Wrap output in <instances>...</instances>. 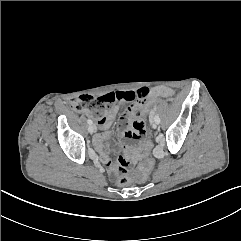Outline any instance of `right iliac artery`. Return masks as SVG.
<instances>
[{
  "label": "right iliac artery",
  "instance_id": "right-iliac-artery-1",
  "mask_svg": "<svg viewBox=\"0 0 241 241\" xmlns=\"http://www.w3.org/2000/svg\"><path fill=\"white\" fill-rule=\"evenodd\" d=\"M87 123H88L89 125H91L93 122H92V120L88 119V120H87Z\"/></svg>",
  "mask_w": 241,
  "mask_h": 241
}]
</instances>
